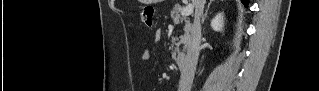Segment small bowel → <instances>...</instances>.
I'll list each match as a JSON object with an SVG mask.
<instances>
[{"label": "small bowel", "instance_id": "1", "mask_svg": "<svg viewBox=\"0 0 319 91\" xmlns=\"http://www.w3.org/2000/svg\"><path fill=\"white\" fill-rule=\"evenodd\" d=\"M151 58V54L149 51H144L141 55V60L144 61V62H147L149 61Z\"/></svg>", "mask_w": 319, "mask_h": 91}]
</instances>
